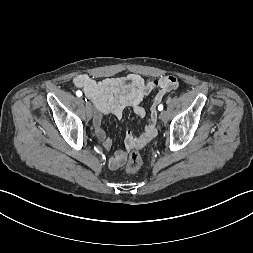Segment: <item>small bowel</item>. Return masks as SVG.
<instances>
[{"label":"small bowel","mask_w":253,"mask_h":253,"mask_svg":"<svg viewBox=\"0 0 253 253\" xmlns=\"http://www.w3.org/2000/svg\"><path fill=\"white\" fill-rule=\"evenodd\" d=\"M73 82L77 88L85 92L94 105V132L106 149L112 147L113 141L102 127V115L113 114L121 118L124 110L131 108L136 116L143 118L146 110L142 106V101L146 95L158 89L153 102L155 106L166 93L175 90L179 85L177 78L172 75L144 79L137 74H130L125 78L109 77L100 81L94 80L87 74H79ZM154 106L144 131L139 135L128 132L124 141V149L110 157L109 167L111 169L120 168L126 161L130 150L144 147L156 136L157 113Z\"/></svg>","instance_id":"c3829d8e"}]
</instances>
